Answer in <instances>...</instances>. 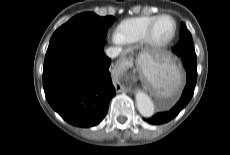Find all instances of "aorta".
<instances>
[{
	"label": "aorta",
	"instance_id": "1",
	"mask_svg": "<svg viewBox=\"0 0 230 155\" xmlns=\"http://www.w3.org/2000/svg\"><path fill=\"white\" fill-rule=\"evenodd\" d=\"M135 98L137 108L141 115L144 117H151L154 114V105L150 97L142 91H137Z\"/></svg>",
	"mask_w": 230,
	"mask_h": 155
}]
</instances>
